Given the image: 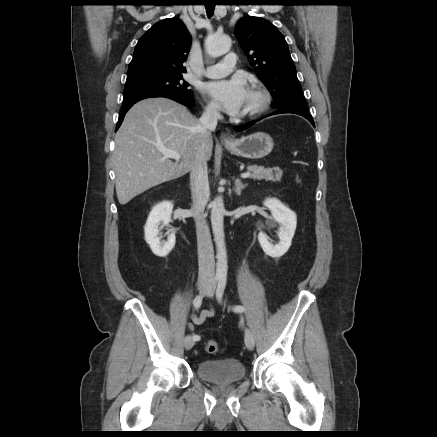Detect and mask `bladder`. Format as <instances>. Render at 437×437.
I'll return each mask as SVG.
<instances>
[{
  "label": "bladder",
  "instance_id": "31cf9c89",
  "mask_svg": "<svg viewBox=\"0 0 437 437\" xmlns=\"http://www.w3.org/2000/svg\"><path fill=\"white\" fill-rule=\"evenodd\" d=\"M197 376L211 383H230L242 380L246 375L244 364L234 358L203 360L197 364Z\"/></svg>",
  "mask_w": 437,
  "mask_h": 437
}]
</instances>
